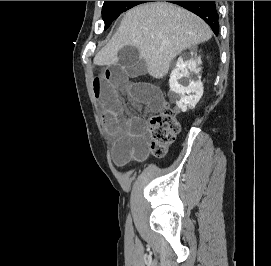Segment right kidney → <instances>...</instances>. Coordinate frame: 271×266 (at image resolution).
<instances>
[{"label":"right kidney","mask_w":271,"mask_h":266,"mask_svg":"<svg viewBox=\"0 0 271 266\" xmlns=\"http://www.w3.org/2000/svg\"><path fill=\"white\" fill-rule=\"evenodd\" d=\"M194 56L195 52L182 54L169 79L170 91L180 97L176 105L183 112L187 108H194L203 95V83L199 76L201 68L197 67L202 62L200 57L195 59Z\"/></svg>","instance_id":"obj_1"}]
</instances>
